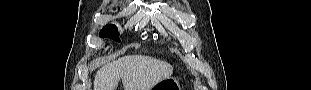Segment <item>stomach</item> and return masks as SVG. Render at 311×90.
<instances>
[{
	"mask_svg": "<svg viewBox=\"0 0 311 90\" xmlns=\"http://www.w3.org/2000/svg\"><path fill=\"white\" fill-rule=\"evenodd\" d=\"M180 80L178 77H169L157 83L152 90H181Z\"/></svg>",
	"mask_w": 311,
	"mask_h": 90,
	"instance_id": "obj_1",
	"label": "stomach"
}]
</instances>
